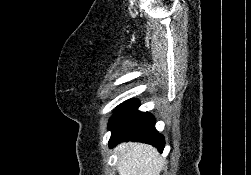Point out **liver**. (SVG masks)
I'll list each match as a JSON object with an SVG mask.
<instances>
[{
	"label": "liver",
	"mask_w": 251,
	"mask_h": 175,
	"mask_svg": "<svg viewBox=\"0 0 251 175\" xmlns=\"http://www.w3.org/2000/svg\"><path fill=\"white\" fill-rule=\"evenodd\" d=\"M117 169L119 175H160L164 165L158 149L148 143H120Z\"/></svg>",
	"instance_id": "obj_1"
}]
</instances>
